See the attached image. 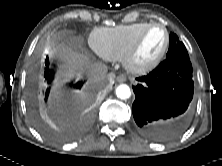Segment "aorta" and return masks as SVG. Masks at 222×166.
<instances>
[{
	"instance_id": "obj_1",
	"label": "aorta",
	"mask_w": 222,
	"mask_h": 166,
	"mask_svg": "<svg viewBox=\"0 0 222 166\" xmlns=\"http://www.w3.org/2000/svg\"><path fill=\"white\" fill-rule=\"evenodd\" d=\"M116 95L120 99H128L131 96V90L128 85L121 84L116 88Z\"/></svg>"
}]
</instances>
